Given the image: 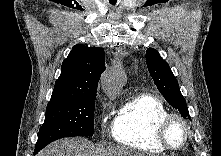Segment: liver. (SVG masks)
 <instances>
[{
	"label": "liver",
	"mask_w": 221,
	"mask_h": 156,
	"mask_svg": "<svg viewBox=\"0 0 221 156\" xmlns=\"http://www.w3.org/2000/svg\"><path fill=\"white\" fill-rule=\"evenodd\" d=\"M38 156H144L141 153L124 147H95L85 138L75 137L58 140Z\"/></svg>",
	"instance_id": "1"
}]
</instances>
